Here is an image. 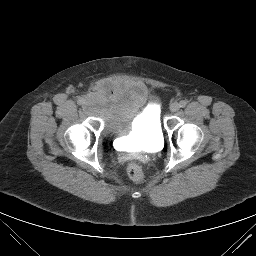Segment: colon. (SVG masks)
Segmentation results:
<instances>
[{"label":"colon","mask_w":256,"mask_h":256,"mask_svg":"<svg viewBox=\"0 0 256 256\" xmlns=\"http://www.w3.org/2000/svg\"><path fill=\"white\" fill-rule=\"evenodd\" d=\"M127 172L129 177L135 182H141L144 178L141 167L136 163H130Z\"/></svg>","instance_id":"colon-1"}]
</instances>
